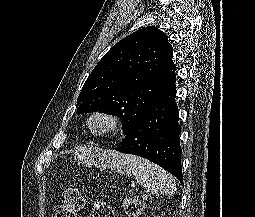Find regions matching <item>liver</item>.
Listing matches in <instances>:
<instances>
[{"label":"liver","instance_id":"obj_1","mask_svg":"<svg viewBox=\"0 0 255 217\" xmlns=\"http://www.w3.org/2000/svg\"><path fill=\"white\" fill-rule=\"evenodd\" d=\"M80 154H77L78 157L85 159V158H92V157H99V158H108L116 155V153L108 151L100 153V150H94L92 148H80L78 149ZM97 152V153H96Z\"/></svg>","mask_w":255,"mask_h":217}]
</instances>
